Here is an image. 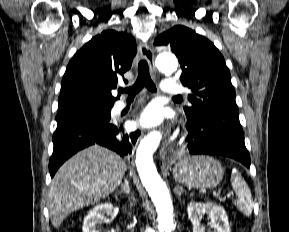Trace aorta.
I'll use <instances>...</instances> for the list:
<instances>
[{
  "label": "aorta",
  "instance_id": "762f6f07",
  "mask_svg": "<svg viewBox=\"0 0 289 232\" xmlns=\"http://www.w3.org/2000/svg\"><path fill=\"white\" fill-rule=\"evenodd\" d=\"M178 63L172 55H160L157 60L159 71L171 74ZM161 140V133L151 132L140 142L136 152V166L143 186L151 197L158 214L160 232H172L176 224L173 216L172 201L166 184L161 179L153 162V153Z\"/></svg>",
  "mask_w": 289,
  "mask_h": 232
}]
</instances>
